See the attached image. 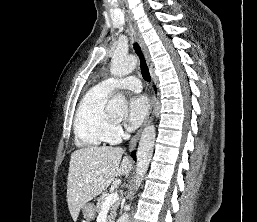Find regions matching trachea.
Returning <instances> with one entry per match:
<instances>
[{"instance_id":"3493384b","label":"trachea","mask_w":257,"mask_h":222,"mask_svg":"<svg viewBox=\"0 0 257 222\" xmlns=\"http://www.w3.org/2000/svg\"><path fill=\"white\" fill-rule=\"evenodd\" d=\"M134 50H135V53L139 56V59H140L141 74H142L145 81L150 82L151 81V76H150V73H149V69H148V66L145 62L144 55H143L138 43H134Z\"/></svg>"}]
</instances>
